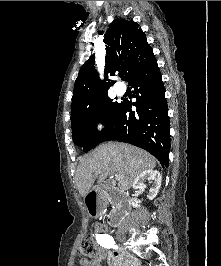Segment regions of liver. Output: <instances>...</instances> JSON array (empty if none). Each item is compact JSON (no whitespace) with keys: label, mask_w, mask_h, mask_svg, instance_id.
<instances>
[{"label":"liver","mask_w":221,"mask_h":266,"mask_svg":"<svg viewBox=\"0 0 221 266\" xmlns=\"http://www.w3.org/2000/svg\"><path fill=\"white\" fill-rule=\"evenodd\" d=\"M156 159L138 147L124 143H107L100 145L88 156L84 157L77 167L76 186L82 197L91 189L96 177L98 183L104 182L107 176L117 174L120 191L131 188L135 179L143 172L153 169Z\"/></svg>","instance_id":"6515ba94"}]
</instances>
